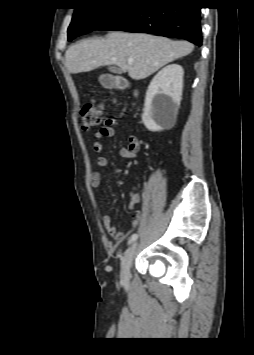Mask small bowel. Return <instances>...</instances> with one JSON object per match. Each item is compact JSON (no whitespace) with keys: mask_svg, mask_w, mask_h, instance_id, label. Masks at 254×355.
Here are the masks:
<instances>
[{"mask_svg":"<svg viewBox=\"0 0 254 355\" xmlns=\"http://www.w3.org/2000/svg\"><path fill=\"white\" fill-rule=\"evenodd\" d=\"M120 123L116 119H107L104 126L98 130L94 135V141L92 148L95 153H101L103 151L102 141L111 138L115 135L116 127ZM127 146L119 149V155L123 158L134 159L139 150V140L134 135H129L127 139ZM107 165V159L100 156L96 159V167L102 169ZM101 173L99 171H94L90 176V184L92 187L97 188L101 184ZM128 209L133 210L135 205L140 201L139 191L136 185H132L128 192ZM142 220V211L138 210L134 212L132 223L130 224L129 231L135 230ZM102 222L106 231L113 237L117 242H121L125 239L126 233L120 231L116 225L113 223L111 217L107 214L103 215Z\"/></svg>","mask_w":254,"mask_h":355,"instance_id":"small-bowel-1","label":"small bowel"}]
</instances>
